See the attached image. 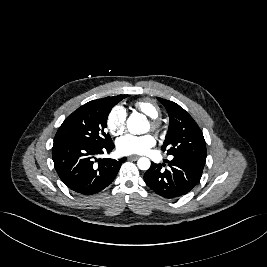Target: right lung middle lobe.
<instances>
[{"mask_svg": "<svg viewBox=\"0 0 267 267\" xmlns=\"http://www.w3.org/2000/svg\"><path fill=\"white\" fill-rule=\"evenodd\" d=\"M128 95H118L90 101L69 115L59 127L54 144L106 146L112 143L105 132L107 118L113 106Z\"/></svg>", "mask_w": 267, "mask_h": 267, "instance_id": "right-lung-middle-lobe-1", "label": "right lung middle lobe"}]
</instances>
